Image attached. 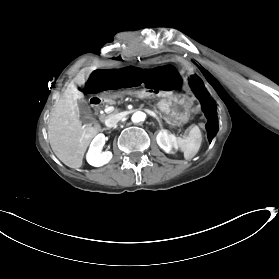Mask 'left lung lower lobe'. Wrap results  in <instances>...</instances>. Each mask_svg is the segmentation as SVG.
<instances>
[{"mask_svg":"<svg viewBox=\"0 0 279 279\" xmlns=\"http://www.w3.org/2000/svg\"><path fill=\"white\" fill-rule=\"evenodd\" d=\"M190 86L197 96V98L202 103V109L205 113V116L207 118L206 123V130H207V137L209 142L211 143L213 136L216 134V131L218 129V119L216 115V105L214 102L210 100L207 93L202 88V85L200 81L195 77L192 76L190 80Z\"/></svg>","mask_w":279,"mask_h":279,"instance_id":"0a47b994","label":"left lung lower lobe"}]
</instances>
